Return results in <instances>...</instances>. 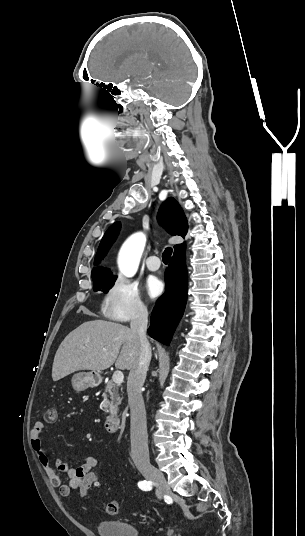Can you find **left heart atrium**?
I'll return each mask as SVG.
<instances>
[{
	"mask_svg": "<svg viewBox=\"0 0 305 536\" xmlns=\"http://www.w3.org/2000/svg\"><path fill=\"white\" fill-rule=\"evenodd\" d=\"M163 283L155 276H149L146 280V291L151 298L158 297L163 291Z\"/></svg>",
	"mask_w": 305,
	"mask_h": 536,
	"instance_id": "obj_1",
	"label": "left heart atrium"
}]
</instances>
